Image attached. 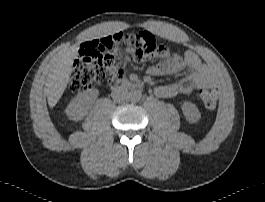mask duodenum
<instances>
[{
  "mask_svg": "<svg viewBox=\"0 0 265 202\" xmlns=\"http://www.w3.org/2000/svg\"><path fill=\"white\" fill-rule=\"evenodd\" d=\"M134 85H135V82H133L132 80L123 78V79L118 80V82H116L112 88L113 90H121L125 88H131Z\"/></svg>",
  "mask_w": 265,
  "mask_h": 202,
  "instance_id": "410a0bca",
  "label": "duodenum"
}]
</instances>
